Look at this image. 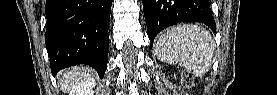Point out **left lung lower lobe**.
Here are the masks:
<instances>
[{"instance_id": "1", "label": "left lung lower lobe", "mask_w": 277, "mask_h": 95, "mask_svg": "<svg viewBox=\"0 0 277 95\" xmlns=\"http://www.w3.org/2000/svg\"><path fill=\"white\" fill-rule=\"evenodd\" d=\"M150 47L154 38L171 25L197 21L216 29L209 0H142Z\"/></svg>"}]
</instances>
